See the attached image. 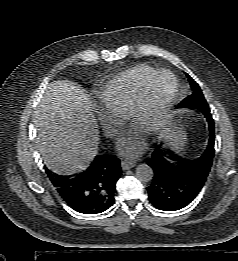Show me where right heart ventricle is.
<instances>
[{"instance_id":"obj_1","label":"right heart ventricle","mask_w":238,"mask_h":261,"mask_svg":"<svg viewBox=\"0 0 238 261\" xmlns=\"http://www.w3.org/2000/svg\"><path fill=\"white\" fill-rule=\"evenodd\" d=\"M154 71L153 67L140 64L115 77L98 92L102 108L128 116L142 82Z\"/></svg>"}]
</instances>
